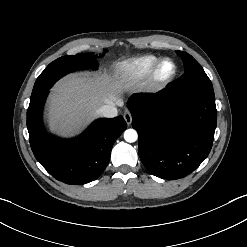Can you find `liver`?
Wrapping results in <instances>:
<instances>
[{
	"instance_id": "obj_1",
	"label": "liver",
	"mask_w": 247,
	"mask_h": 247,
	"mask_svg": "<svg viewBox=\"0 0 247 247\" xmlns=\"http://www.w3.org/2000/svg\"><path fill=\"white\" fill-rule=\"evenodd\" d=\"M121 82L106 74L73 75L58 82L53 88L48 121L52 131L72 134L98 116L105 104L120 100Z\"/></svg>"
}]
</instances>
